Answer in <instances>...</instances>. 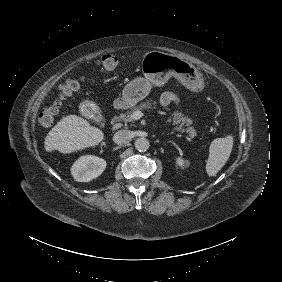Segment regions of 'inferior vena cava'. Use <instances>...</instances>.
I'll return each mask as SVG.
<instances>
[{
    "label": "inferior vena cava",
    "instance_id": "1",
    "mask_svg": "<svg viewBox=\"0 0 282 282\" xmlns=\"http://www.w3.org/2000/svg\"><path fill=\"white\" fill-rule=\"evenodd\" d=\"M132 138L131 132L129 130H119L114 135V142L117 144H126Z\"/></svg>",
    "mask_w": 282,
    "mask_h": 282
}]
</instances>
